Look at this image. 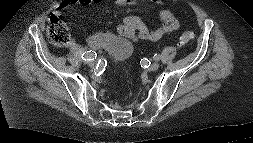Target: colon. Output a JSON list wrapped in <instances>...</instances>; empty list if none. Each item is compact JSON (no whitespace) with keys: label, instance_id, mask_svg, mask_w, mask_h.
<instances>
[{"label":"colon","instance_id":"5ec220e1","mask_svg":"<svg viewBox=\"0 0 253 143\" xmlns=\"http://www.w3.org/2000/svg\"><path fill=\"white\" fill-rule=\"evenodd\" d=\"M47 36L51 43L57 47H65L70 42V32L67 25L56 15H52L48 20ZM192 38V33L185 32L180 35L178 42L182 46L187 45Z\"/></svg>","mask_w":253,"mask_h":143}]
</instances>
